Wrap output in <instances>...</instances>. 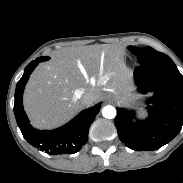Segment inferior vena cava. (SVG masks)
<instances>
[{
	"label": "inferior vena cava",
	"mask_w": 183,
	"mask_h": 183,
	"mask_svg": "<svg viewBox=\"0 0 183 183\" xmlns=\"http://www.w3.org/2000/svg\"><path fill=\"white\" fill-rule=\"evenodd\" d=\"M81 102L85 105H91L95 100V94L92 91H83L79 94Z\"/></svg>",
	"instance_id": "602c4592"
}]
</instances>
